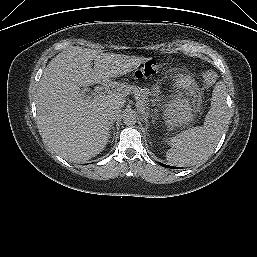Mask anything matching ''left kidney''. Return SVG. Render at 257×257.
Wrapping results in <instances>:
<instances>
[{
	"instance_id": "obj_1",
	"label": "left kidney",
	"mask_w": 257,
	"mask_h": 257,
	"mask_svg": "<svg viewBox=\"0 0 257 257\" xmlns=\"http://www.w3.org/2000/svg\"><path fill=\"white\" fill-rule=\"evenodd\" d=\"M166 123L169 126L186 124L191 120L190 108L183 100H176L168 104L164 110Z\"/></svg>"
}]
</instances>
